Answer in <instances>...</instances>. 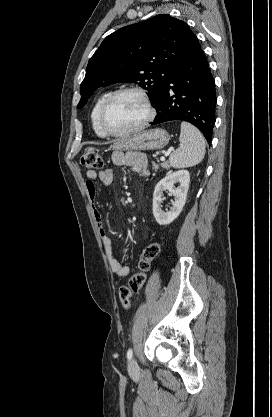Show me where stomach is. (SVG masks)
<instances>
[{"mask_svg": "<svg viewBox=\"0 0 272 417\" xmlns=\"http://www.w3.org/2000/svg\"><path fill=\"white\" fill-rule=\"evenodd\" d=\"M170 140L166 130L162 128L150 129L134 135L131 138L115 143L112 148L119 150H159L164 148Z\"/></svg>", "mask_w": 272, "mask_h": 417, "instance_id": "0dacf381", "label": "stomach"}]
</instances>
